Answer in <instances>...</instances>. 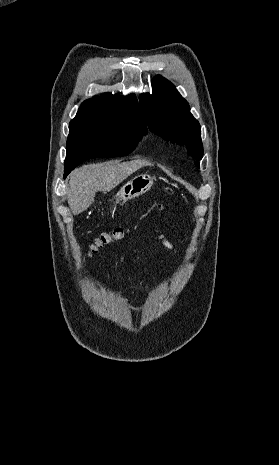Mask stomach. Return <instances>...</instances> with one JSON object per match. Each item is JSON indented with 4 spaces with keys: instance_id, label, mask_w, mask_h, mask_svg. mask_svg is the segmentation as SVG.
<instances>
[{
    "instance_id": "1",
    "label": "stomach",
    "mask_w": 279,
    "mask_h": 465,
    "mask_svg": "<svg viewBox=\"0 0 279 465\" xmlns=\"http://www.w3.org/2000/svg\"><path fill=\"white\" fill-rule=\"evenodd\" d=\"M154 184V177L150 174H140L125 183L120 190L113 196L112 201L115 203L127 202L132 198L138 197L149 191Z\"/></svg>"
}]
</instances>
